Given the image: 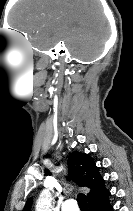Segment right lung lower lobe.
I'll return each mask as SVG.
<instances>
[{"label":"right lung lower lobe","instance_id":"obj_1","mask_svg":"<svg viewBox=\"0 0 133 211\" xmlns=\"http://www.w3.org/2000/svg\"><path fill=\"white\" fill-rule=\"evenodd\" d=\"M109 196L103 201L90 204V211H114L113 206L110 203Z\"/></svg>","mask_w":133,"mask_h":211}]
</instances>
